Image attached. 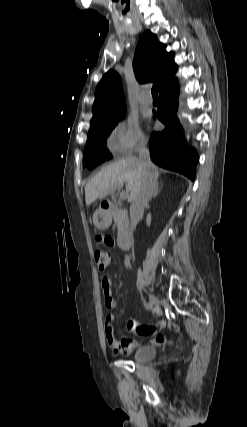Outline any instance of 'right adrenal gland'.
Listing matches in <instances>:
<instances>
[{"label":"right adrenal gland","mask_w":247,"mask_h":427,"mask_svg":"<svg viewBox=\"0 0 247 427\" xmlns=\"http://www.w3.org/2000/svg\"><path fill=\"white\" fill-rule=\"evenodd\" d=\"M159 192H160V188H159V184L157 183L156 190H155V193L153 194V197L155 198L159 194Z\"/></svg>","instance_id":"obj_1"}]
</instances>
